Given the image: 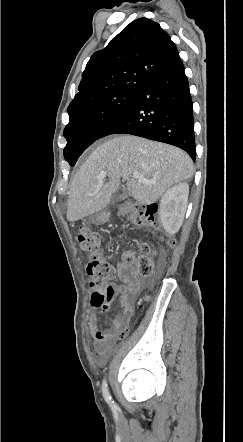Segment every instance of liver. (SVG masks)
<instances>
[{
	"instance_id": "6515ba94",
	"label": "liver",
	"mask_w": 243,
	"mask_h": 442,
	"mask_svg": "<svg viewBox=\"0 0 243 442\" xmlns=\"http://www.w3.org/2000/svg\"><path fill=\"white\" fill-rule=\"evenodd\" d=\"M103 171L109 177L106 183L98 178ZM133 172H139L150 183L133 178ZM193 173L192 159L177 147L131 135L116 136L99 145L75 174L67 219L75 222L103 210L118 190L121 178L127 180L130 195L147 205Z\"/></svg>"
}]
</instances>
